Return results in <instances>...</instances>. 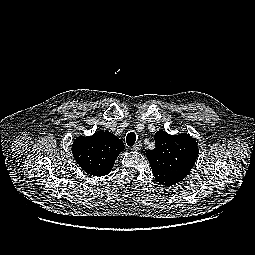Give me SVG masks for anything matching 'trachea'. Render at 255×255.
I'll use <instances>...</instances> for the list:
<instances>
[{"instance_id":"trachea-1","label":"trachea","mask_w":255,"mask_h":255,"mask_svg":"<svg viewBox=\"0 0 255 255\" xmlns=\"http://www.w3.org/2000/svg\"><path fill=\"white\" fill-rule=\"evenodd\" d=\"M136 141V135L134 132H130L128 133L127 137H126V142L128 146H133L135 144Z\"/></svg>"}]
</instances>
